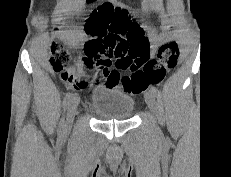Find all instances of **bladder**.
Masks as SVG:
<instances>
[{
	"label": "bladder",
	"mask_w": 231,
	"mask_h": 177,
	"mask_svg": "<svg viewBox=\"0 0 231 177\" xmlns=\"http://www.w3.org/2000/svg\"><path fill=\"white\" fill-rule=\"evenodd\" d=\"M91 106L100 119L123 121L133 116L135 102L120 90L99 86L92 93Z\"/></svg>",
	"instance_id": "bladder-1"
}]
</instances>
